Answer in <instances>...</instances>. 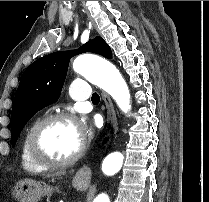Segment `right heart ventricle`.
I'll return each instance as SVG.
<instances>
[{
	"instance_id": "1",
	"label": "right heart ventricle",
	"mask_w": 209,
	"mask_h": 202,
	"mask_svg": "<svg viewBox=\"0 0 209 202\" xmlns=\"http://www.w3.org/2000/svg\"><path fill=\"white\" fill-rule=\"evenodd\" d=\"M37 121H33L28 127L27 129L24 131L23 136H22V140H21V146H20V162L22 167L28 171V172H32V173H39L42 172L44 169L39 167L38 165H36L29 157L28 152H27V143H28V137L30 134V131L32 129V127L34 126V124Z\"/></svg>"
}]
</instances>
